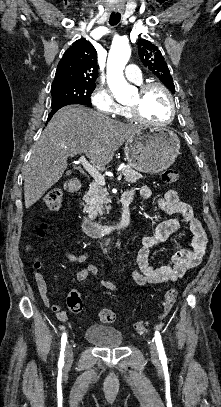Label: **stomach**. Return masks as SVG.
<instances>
[{
	"mask_svg": "<svg viewBox=\"0 0 221 407\" xmlns=\"http://www.w3.org/2000/svg\"><path fill=\"white\" fill-rule=\"evenodd\" d=\"M179 149L180 141L173 131L139 128L127 139L124 152L129 166L156 174L174 163Z\"/></svg>",
	"mask_w": 221,
	"mask_h": 407,
	"instance_id": "0dacf381",
	"label": "stomach"
}]
</instances>
